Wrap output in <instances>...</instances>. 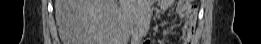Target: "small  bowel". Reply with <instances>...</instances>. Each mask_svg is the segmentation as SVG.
I'll return each mask as SVG.
<instances>
[{
  "label": "small bowel",
  "mask_w": 261,
  "mask_h": 44,
  "mask_svg": "<svg viewBox=\"0 0 261 44\" xmlns=\"http://www.w3.org/2000/svg\"><path fill=\"white\" fill-rule=\"evenodd\" d=\"M155 4L161 10L168 9L173 1L171 0H160L155 2H142L138 5L139 11L144 10L147 12V15L150 17L152 13V5ZM178 6L177 13L184 18L183 33H182V43L183 44H192L195 38L196 31V10L191 6ZM155 43L154 40H145L144 44Z\"/></svg>",
  "instance_id": "1"
}]
</instances>
